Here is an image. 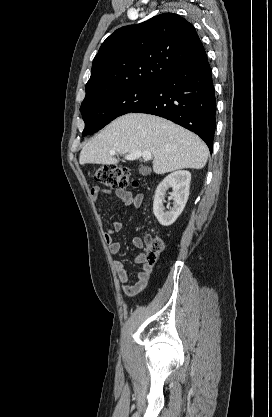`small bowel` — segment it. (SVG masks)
Returning a JSON list of instances; mask_svg holds the SVG:
<instances>
[{
  "label": "small bowel",
  "mask_w": 272,
  "mask_h": 417,
  "mask_svg": "<svg viewBox=\"0 0 272 417\" xmlns=\"http://www.w3.org/2000/svg\"><path fill=\"white\" fill-rule=\"evenodd\" d=\"M90 193L93 199H98L101 194H110L111 191L102 189L99 186H94ZM114 194L125 206H132L134 208H140L144 200L143 194H132L124 188L115 189ZM121 228V222H114L104 231V238L108 244L109 251L114 255L119 254L121 251V244L114 240L115 235L121 230ZM132 245L136 249H142L144 247V242L141 238L134 237L132 239ZM134 262L136 264L142 265L135 278H131L129 276L126 266L123 262H114V269L117 278L121 282L120 289L123 294L129 297L139 294L146 288L152 271L151 265L145 263V257L142 253H139L135 256Z\"/></svg>",
  "instance_id": "small-bowel-1"
}]
</instances>
